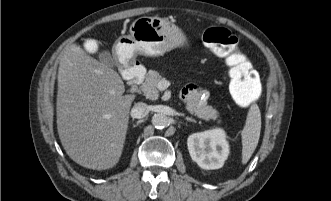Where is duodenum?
Masks as SVG:
<instances>
[{
	"label": "duodenum",
	"instance_id": "duodenum-1",
	"mask_svg": "<svg viewBox=\"0 0 331 201\" xmlns=\"http://www.w3.org/2000/svg\"><path fill=\"white\" fill-rule=\"evenodd\" d=\"M125 73H126L128 79H129V86L130 87H135L145 76L144 68L137 61L130 64L126 68Z\"/></svg>",
	"mask_w": 331,
	"mask_h": 201
}]
</instances>
